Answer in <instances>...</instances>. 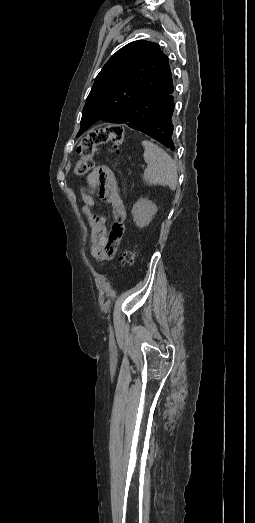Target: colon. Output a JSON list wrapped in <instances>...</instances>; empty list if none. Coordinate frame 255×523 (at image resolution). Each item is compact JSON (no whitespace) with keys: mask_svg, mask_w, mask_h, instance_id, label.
Listing matches in <instances>:
<instances>
[{"mask_svg":"<svg viewBox=\"0 0 255 523\" xmlns=\"http://www.w3.org/2000/svg\"><path fill=\"white\" fill-rule=\"evenodd\" d=\"M124 139V130L117 125H109L88 132L77 146L79 160L74 167L76 176L81 177L87 174L94 167V154L97 148L104 144H110V152H116ZM137 258L134 249L124 250L118 257L123 267L132 266Z\"/></svg>","mask_w":255,"mask_h":523,"instance_id":"colon-1","label":"colon"}]
</instances>
